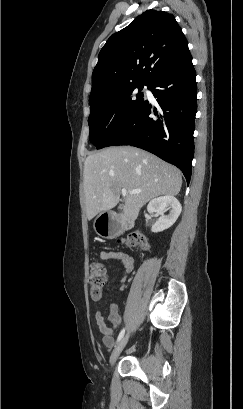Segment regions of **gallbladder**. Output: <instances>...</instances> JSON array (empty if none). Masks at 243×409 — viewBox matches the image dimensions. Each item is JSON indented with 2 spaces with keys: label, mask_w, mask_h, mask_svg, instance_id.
Segmentation results:
<instances>
[{
  "label": "gallbladder",
  "mask_w": 243,
  "mask_h": 409,
  "mask_svg": "<svg viewBox=\"0 0 243 409\" xmlns=\"http://www.w3.org/2000/svg\"><path fill=\"white\" fill-rule=\"evenodd\" d=\"M119 208L121 209V208H122V205H120Z\"/></svg>",
  "instance_id": "gallbladder-1"
}]
</instances>
